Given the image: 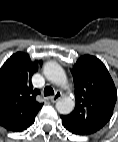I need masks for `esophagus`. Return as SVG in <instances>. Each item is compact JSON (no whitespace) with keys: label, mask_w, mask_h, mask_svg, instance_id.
I'll list each match as a JSON object with an SVG mask.
<instances>
[{"label":"esophagus","mask_w":118,"mask_h":142,"mask_svg":"<svg viewBox=\"0 0 118 142\" xmlns=\"http://www.w3.org/2000/svg\"><path fill=\"white\" fill-rule=\"evenodd\" d=\"M62 97V93L61 92H56L54 96L50 97V101L51 102H56L57 100H59Z\"/></svg>","instance_id":"34e87169"}]
</instances>
